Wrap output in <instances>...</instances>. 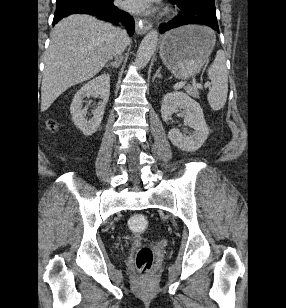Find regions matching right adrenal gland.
<instances>
[{"mask_svg": "<svg viewBox=\"0 0 286 308\" xmlns=\"http://www.w3.org/2000/svg\"><path fill=\"white\" fill-rule=\"evenodd\" d=\"M122 62V57L120 56L119 58H116V60L114 62H111L109 64L106 65V67H114V68H118L120 66Z\"/></svg>", "mask_w": 286, "mask_h": 308, "instance_id": "2a0ac1e0", "label": "right adrenal gland"}]
</instances>
